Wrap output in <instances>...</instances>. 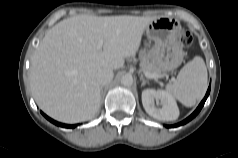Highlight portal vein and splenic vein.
I'll use <instances>...</instances> for the list:
<instances>
[{
	"mask_svg": "<svg viewBox=\"0 0 238 158\" xmlns=\"http://www.w3.org/2000/svg\"><path fill=\"white\" fill-rule=\"evenodd\" d=\"M102 48V42H100L98 44V49H101ZM146 77L147 78H157L158 76L157 75H154V74H148V73H145Z\"/></svg>",
	"mask_w": 238,
	"mask_h": 158,
	"instance_id": "portal-vein-and-splenic-vein-1",
	"label": "portal vein and splenic vein"
}]
</instances>
